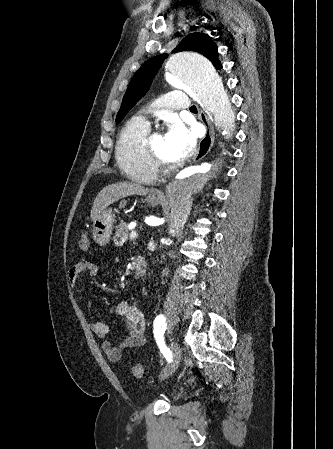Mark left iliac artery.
I'll return each mask as SVG.
<instances>
[{
  "label": "left iliac artery",
  "mask_w": 333,
  "mask_h": 449,
  "mask_svg": "<svg viewBox=\"0 0 333 449\" xmlns=\"http://www.w3.org/2000/svg\"><path fill=\"white\" fill-rule=\"evenodd\" d=\"M165 330H166L165 317H164V315L160 314L154 320L153 333H154L156 343H157L161 353L163 354V356L165 357V359L168 362H171L172 361V353H171L170 349L166 346L165 341H164Z\"/></svg>",
  "instance_id": "44dca946"
}]
</instances>
